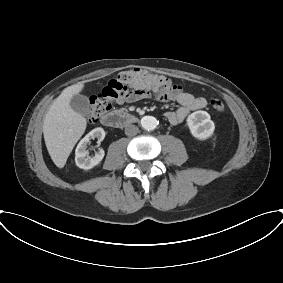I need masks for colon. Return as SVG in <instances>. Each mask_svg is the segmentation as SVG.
<instances>
[{
	"instance_id": "colon-1",
	"label": "colon",
	"mask_w": 283,
	"mask_h": 283,
	"mask_svg": "<svg viewBox=\"0 0 283 283\" xmlns=\"http://www.w3.org/2000/svg\"><path fill=\"white\" fill-rule=\"evenodd\" d=\"M169 86V79L161 74L140 68H130L122 71L103 88L100 94L92 97L90 101L89 120L91 122H97L111 109L112 103L127 91L135 95L149 96L155 91H164ZM209 104L216 112H223L225 110L223 101L218 98L210 99Z\"/></svg>"
}]
</instances>
